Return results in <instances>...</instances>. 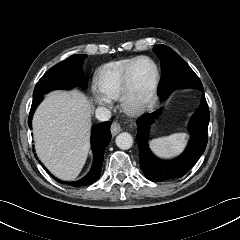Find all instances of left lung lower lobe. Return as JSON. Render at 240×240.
I'll return each instance as SVG.
<instances>
[{
	"instance_id": "left-lung-lower-lobe-1",
	"label": "left lung lower lobe",
	"mask_w": 240,
	"mask_h": 240,
	"mask_svg": "<svg viewBox=\"0 0 240 240\" xmlns=\"http://www.w3.org/2000/svg\"><path fill=\"white\" fill-rule=\"evenodd\" d=\"M161 109L141 117L137 121V142L139 146L140 167L148 180L163 182L183 177L198 161L207 145V129L210 113L205 95L198 110L189 122L191 139L179 157L170 161H162L155 157L148 147V131L150 125L159 115Z\"/></svg>"
}]
</instances>
